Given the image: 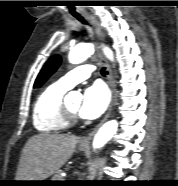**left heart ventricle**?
<instances>
[{"label": "left heart ventricle", "mask_w": 178, "mask_h": 186, "mask_svg": "<svg viewBox=\"0 0 178 186\" xmlns=\"http://www.w3.org/2000/svg\"><path fill=\"white\" fill-rule=\"evenodd\" d=\"M67 106L71 112L78 115L79 109H80V102L79 101L68 103Z\"/></svg>", "instance_id": "1"}]
</instances>
